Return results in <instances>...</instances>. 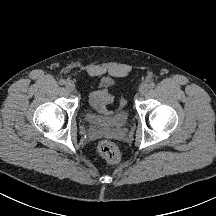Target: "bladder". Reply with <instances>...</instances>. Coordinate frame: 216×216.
Returning <instances> with one entry per match:
<instances>
[{
  "mask_svg": "<svg viewBox=\"0 0 216 216\" xmlns=\"http://www.w3.org/2000/svg\"><path fill=\"white\" fill-rule=\"evenodd\" d=\"M85 118L89 123L96 126H103L109 129H118L126 125L128 121V111L123 107L118 109L113 115L109 117L100 118L91 111L87 110L85 112Z\"/></svg>",
  "mask_w": 216,
  "mask_h": 216,
  "instance_id": "1",
  "label": "bladder"
}]
</instances>
